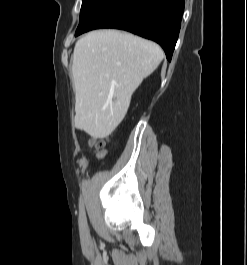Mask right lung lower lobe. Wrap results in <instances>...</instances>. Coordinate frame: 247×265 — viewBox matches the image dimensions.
<instances>
[{
  "mask_svg": "<svg viewBox=\"0 0 247 265\" xmlns=\"http://www.w3.org/2000/svg\"><path fill=\"white\" fill-rule=\"evenodd\" d=\"M183 10L184 0H99L75 36L97 28L122 29L157 42L171 60Z\"/></svg>",
  "mask_w": 247,
  "mask_h": 265,
  "instance_id": "1",
  "label": "right lung lower lobe"
}]
</instances>
